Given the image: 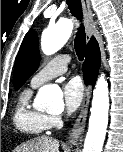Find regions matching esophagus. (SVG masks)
Instances as JSON below:
<instances>
[{"label":"esophagus","mask_w":123,"mask_h":152,"mask_svg":"<svg viewBox=\"0 0 123 152\" xmlns=\"http://www.w3.org/2000/svg\"><path fill=\"white\" fill-rule=\"evenodd\" d=\"M81 5H82L83 15H84V26L87 31L86 39L87 41H89L91 36L88 30L90 29L92 25V17H93L90 0H81ZM90 97H91V86L87 85L80 114L66 141L68 145H74L76 143V141L78 140L79 136L81 135L85 127L87 114H88V108L90 104Z\"/></svg>","instance_id":"34e87169"}]
</instances>
